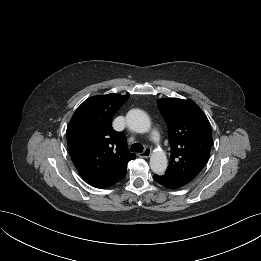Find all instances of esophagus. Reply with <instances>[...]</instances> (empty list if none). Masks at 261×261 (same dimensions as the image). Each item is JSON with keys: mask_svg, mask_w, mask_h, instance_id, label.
I'll return each mask as SVG.
<instances>
[{"mask_svg": "<svg viewBox=\"0 0 261 261\" xmlns=\"http://www.w3.org/2000/svg\"><path fill=\"white\" fill-rule=\"evenodd\" d=\"M139 157L141 158H148L151 156V149L150 148H146L142 153L138 154Z\"/></svg>", "mask_w": 261, "mask_h": 261, "instance_id": "34e87169", "label": "esophagus"}]
</instances>
